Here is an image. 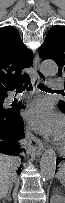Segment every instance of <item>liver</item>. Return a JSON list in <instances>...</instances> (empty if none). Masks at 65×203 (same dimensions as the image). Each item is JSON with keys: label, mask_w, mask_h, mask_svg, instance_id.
Listing matches in <instances>:
<instances>
[{"label": "liver", "mask_w": 65, "mask_h": 203, "mask_svg": "<svg viewBox=\"0 0 65 203\" xmlns=\"http://www.w3.org/2000/svg\"><path fill=\"white\" fill-rule=\"evenodd\" d=\"M19 160L14 156L0 154V198L4 199L12 188V181Z\"/></svg>", "instance_id": "1"}]
</instances>
